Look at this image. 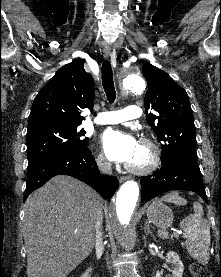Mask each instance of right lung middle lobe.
<instances>
[{"mask_svg": "<svg viewBox=\"0 0 221 277\" xmlns=\"http://www.w3.org/2000/svg\"><path fill=\"white\" fill-rule=\"evenodd\" d=\"M80 124L49 123L28 126V168L48 159L67 155L88 146L89 139L82 138L85 130H77Z\"/></svg>", "mask_w": 221, "mask_h": 277, "instance_id": "right-lung-middle-lobe-1", "label": "right lung middle lobe"}]
</instances>
